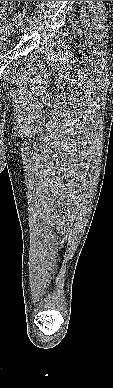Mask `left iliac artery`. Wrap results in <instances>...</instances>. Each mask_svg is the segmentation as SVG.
I'll return each mask as SVG.
<instances>
[{"label":"left iliac artery","mask_w":113,"mask_h":388,"mask_svg":"<svg viewBox=\"0 0 113 388\" xmlns=\"http://www.w3.org/2000/svg\"><path fill=\"white\" fill-rule=\"evenodd\" d=\"M25 21L28 23L32 22V18L31 17H25Z\"/></svg>","instance_id":"1"}]
</instances>
